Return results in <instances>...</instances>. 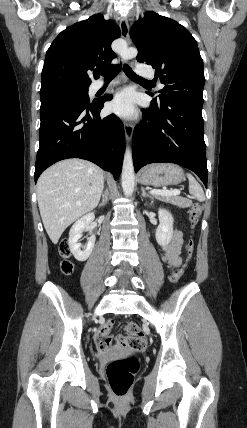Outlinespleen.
<instances>
[{"mask_svg":"<svg viewBox=\"0 0 247 428\" xmlns=\"http://www.w3.org/2000/svg\"><path fill=\"white\" fill-rule=\"evenodd\" d=\"M189 179V193L193 195L198 201L203 202L205 201V195L202 187L200 184L196 181V179L188 174Z\"/></svg>","mask_w":247,"mask_h":428,"instance_id":"1","label":"spleen"}]
</instances>
